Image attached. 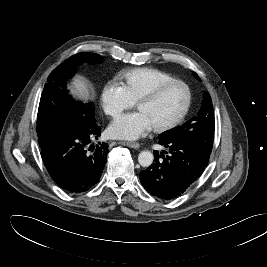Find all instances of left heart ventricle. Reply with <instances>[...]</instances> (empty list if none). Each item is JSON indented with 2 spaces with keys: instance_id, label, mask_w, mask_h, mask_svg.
Instances as JSON below:
<instances>
[{
  "instance_id": "1",
  "label": "left heart ventricle",
  "mask_w": 267,
  "mask_h": 267,
  "mask_svg": "<svg viewBox=\"0 0 267 267\" xmlns=\"http://www.w3.org/2000/svg\"><path fill=\"white\" fill-rule=\"evenodd\" d=\"M187 99L186 90L181 85H173L150 102L138 106L151 127L160 126L175 119L183 110Z\"/></svg>"
}]
</instances>
